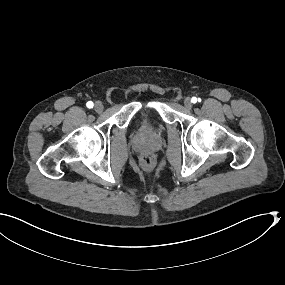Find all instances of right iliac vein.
Segmentation results:
<instances>
[{
	"label": "right iliac vein",
	"mask_w": 285,
	"mask_h": 285,
	"mask_svg": "<svg viewBox=\"0 0 285 285\" xmlns=\"http://www.w3.org/2000/svg\"><path fill=\"white\" fill-rule=\"evenodd\" d=\"M94 108H95V111L98 113H101L104 110L103 104L99 101L95 103Z\"/></svg>",
	"instance_id": "obj_1"
}]
</instances>
